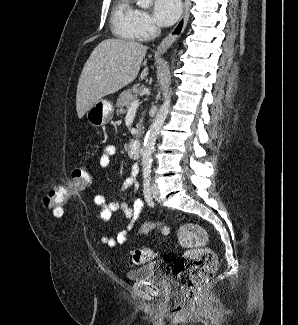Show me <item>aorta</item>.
Instances as JSON below:
<instances>
[{"label":"aorta","mask_w":298,"mask_h":325,"mask_svg":"<svg viewBox=\"0 0 298 325\" xmlns=\"http://www.w3.org/2000/svg\"><path fill=\"white\" fill-rule=\"evenodd\" d=\"M136 4L140 6V8H148V6H152L153 0H136ZM171 98L172 88L169 86L166 94H164V100L162 104H160V108L144 138L142 150V169L144 173H148V171L152 169V152L156 142V136L164 120L167 118L171 106Z\"/></svg>","instance_id":"obj_1"}]
</instances>
